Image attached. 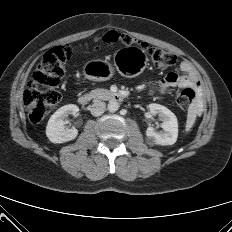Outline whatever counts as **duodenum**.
I'll use <instances>...</instances> for the list:
<instances>
[{
  "label": "duodenum",
  "mask_w": 232,
  "mask_h": 232,
  "mask_svg": "<svg viewBox=\"0 0 232 232\" xmlns=\"http://www.w3.org/2000/svg\"><path fill=\"white\" fill-rule=\"evenodd\" d=\"M109 99L112 101H123L126 99V95L121 92H112L109 94ZM90 101V95L88 93L81 94L78 97V103L85 106Z\"/></svg>",
  "instance_id": "1"
}]
</instances>
